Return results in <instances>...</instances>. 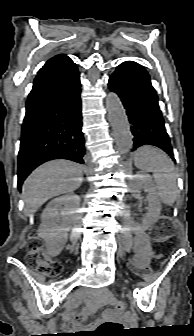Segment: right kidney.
Wrapping results in <instances>:
<instances>
[{
  "mask_svg": "<svg viewBox=\"0 0 194 336\" xmlns=\"http://www.w3.org/2000/svg\"><path fill=\"white\" fill-rule=\"evenodd\" d=\"M79 204L78 195L68 194L50 201L42 212L38 233L51 255L57 256L62 251Z\"/></svg>",
  "mask_w": 194,
  "mask_h": 336,
  "instance_id": "ca27d5eb",
  "label": "right kidney"
}]
</instances>
